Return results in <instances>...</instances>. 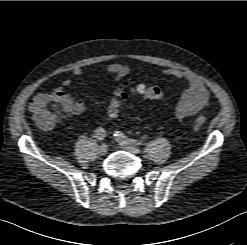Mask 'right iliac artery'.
Returning a JSON list of instances; mask_svg holds the SVG:
<instances>
[{
    "instance_id": "82829eb1",
    "label": "right iliac artery",
    "mask_w": 247,
    "mask_h": 245,
    "mask_svg": "<svg viewBox=\"0 0 247 245\" xmlns=\"http://www.w3.org/2000/svg\"><path fill=\"white\" fill-rule=\"evenodd\" d=\"M95 135H96L97 139L103 140L106 136V132H105L104 128L100 127L95 131Z\"/></svg>"
}]
</instances>
